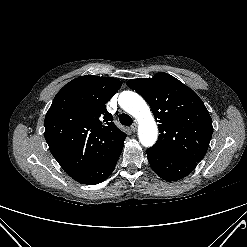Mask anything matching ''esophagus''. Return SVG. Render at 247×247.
Instances as JSON below:
<instances>
[{"label":"esophagus","instance_id":"esophagus-1","mask_svg":"<svg viewBox=\"0 0 247 247\" xmlns=\"http://www.w3.org/2000/svg\"><path fill=\"white\" fill-rule=\"evenodd\" d=\"M131 130H132V132H136L137 131V124L136 123L132 124Z\"/></svg>","mask_w":247,"mask_h":247}]
</instances>
